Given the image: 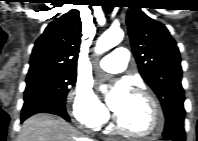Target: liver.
Masks as SVG:
<instances>
[{
	"label": "liver",
	"instance_id": "1",
	"mask_svg": "<svg viewBox=\"0 0 198 141\" xmlns=\"http://www.w3.org/2000/svg\"><path fill=\"white\" fill-rule=\"evenodd\" d=\"M18 141H85L64 119L51 114H37L24 121Z\"/></svg>",
	"mask_w": 198,
	"mask_h": 141
}]
</instances>
